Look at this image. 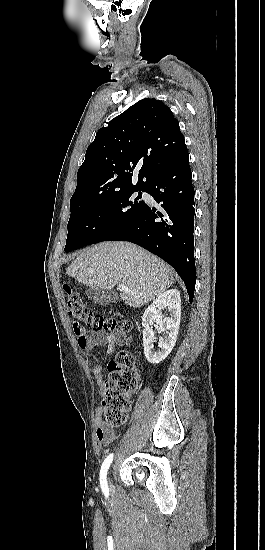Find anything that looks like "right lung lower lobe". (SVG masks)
<instances>
[{
    "label": "right lung lower lobe",
    "mask_w": 265,
    "mask_h": 550,
    "mask_svg": "<svg viewBox=\"0 0 265 550\" xmlns=\"http://www.w3.org/2000/svg\"><path fill=\"white\" fill-rule=\"evenodd\" d=\"M187 148L149 184L146 192L158 209L145 206L128 224L104 241H130L170 264L182 278L193 301L196 283L194 260V188Z\"/></svg>",
    "instance_id": "1"
}]
</instances>
